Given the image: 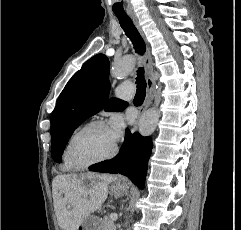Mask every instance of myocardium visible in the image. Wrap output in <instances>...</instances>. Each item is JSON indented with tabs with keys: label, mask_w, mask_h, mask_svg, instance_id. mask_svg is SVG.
<instances>
[{
	"label": "myocardium",
	"mask_w": 241,
	"mask_h": 230,
	"mask_svg": "<svg viewBox=\"0 0 241 230\" xmlns=\"http://www.w3.org/2000/svg\"><path fill=\"white\" fill-rule=\"evenodd\" d=\"M94 127H107L106 123L102 120H93L90 121L86 124H84L82 127H80L69 139L66 147H65V159L68 162V164L70 165V167L72 169H84V168H88L97 164H101V163H105L108 162L112 159H114L118 152H119V147L117 144H115V147L113 148V150L106 156L102 157V158H98L89 162H85V163H75L71 157V150H72V146L74 144V142L76 141V139L85 131L94 128Z\"/></svg>",
	"instance_id": "obj_1"
}]
</instances>
